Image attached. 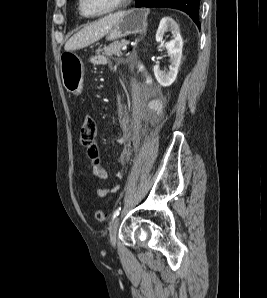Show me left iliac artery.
<instances>
[{
    "label": "left iliac artery",
    "instance_id": "left-iliac-artery-1",
    "mask_svg": "<svg viewBox=\"0 0 267 298\" xmlns=\"http://www.w3.org/2000/svg\"><path fill=\"white\" fill-rule=\"evenodd\" d=\"M120 210H121V207H118V208L114 211L112 219H115V218L119 215Z\"/></svg>",
    "mask_w": 267,
    "mask_h": 298
}]
</instances>
